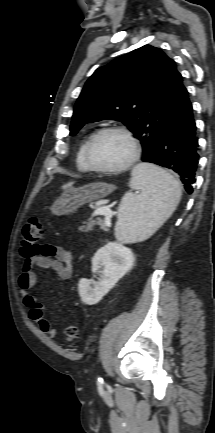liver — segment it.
Returning a JSON list of instances; mask_svg holds the SVG:
<instances>
[{"instance_id": "obj_1", "label": "liver", "mask_w": 215, "mask_h": 433, "mask_svg": "<svg viewBox=\"0 0 215 433\" xmlns=\"http://www.w3.org/2000/svg\"><path fill=\"white\" fill-rule=\"evenodd\" d=\"M73 184H74V182H69V183L63 185V186H62V189L66 190V189L72 187Z\"/></svg>"}]
</instances>
